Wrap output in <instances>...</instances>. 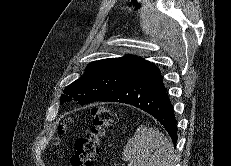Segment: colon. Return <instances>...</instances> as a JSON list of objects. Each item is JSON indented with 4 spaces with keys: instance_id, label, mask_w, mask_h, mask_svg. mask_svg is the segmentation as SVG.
<instances>
[{
    "instance_id": "5ec220e1",
    "label": "colon",
    "mask_w": 231,
    "mask_h": 166,
    "mask_svg": "<svg viewBox=\"0 0 231 166\" xmlns=\"http://www.w3.org/2000/svg\"><path fill=\"white\" fill-rule=\"evenodd\" d=\"M92 117L90 132L76 140L75 152L70 159L71 166H93L102 138L116 121L115 114L105 106L94 107ZM65 128V124H62L59 133L62 134Z\"/></svg>"
}]
</instances>
